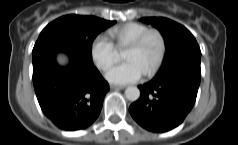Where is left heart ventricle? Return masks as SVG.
<instances>
[{
    "label": "left heart ventricle",
    "mask_w": 238,
    "mask_h": 145,
    "mask_svg": "<svg viewBox=\"0 0 238 145\" xmlns=\"http://www.w3.org/2000/svg\"><path fill=\"white\" fill-rule=\"evenodd\" d=\"M159 52V41L150 37L139 49L126 48L124 58L135 61L145 73L151 66Z\"/></svg>",
    "instance_id": "left-heart-ventricle-1"
}]
</instances>
